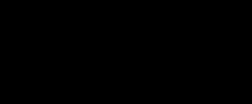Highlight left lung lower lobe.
I'll list each match as a JSON object with an SVG mask.
<instances>
[{"mask_svg": "<svg viewBox=\"0 0 252 104\" xmlns=\"http://www.w3.org/2000/svg\"><path fill=\"white\" fill-rule=\"evenodd\" d=\"M217 92V74L205 73L180 77L150 96L157 103L211 104L215 102Z\"/></svg>", "mask_w": 252, "mask_h": 104, "instance_id": "obj_1", "label": "left lung lower lobe"}]
</instances>
